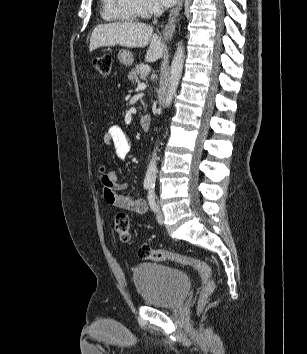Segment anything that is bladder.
I'll use <instances>...</instances> for the list:
<instances>
[{"mask_svg": "<svg viewBox=\"0 0 307 354\" xmlns=\"http://www.w3.org/2000/svg\"><path fill=\"white\" fill-rule=\"evenodd\" d=\"M132 278L143 301L158 307L179 305L190 287V279L184 271L156 262L136 265Z\"/></svg>", "mask_w": 307, "mask_h": 354, "instance_id": "bladder-1", "label": "bladder"}]
</instances>
